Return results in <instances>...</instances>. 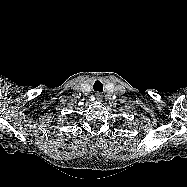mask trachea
I'll use <instances>...</instances> for the list:
<instances>
[{
    "mask_svg": "<svg viewBox=\"0 0 187 187\" xmlns=\"http://www.w3.org/2000/svg\"><path fill=\"white\" fill-rule=\"evenodd\" d=\"M94 91L96 92H102L103 91V86L100 81H96L93 86Z\"/></svg>",
    "mask_w": 187,
    "mask_h": 187,
    "instance_id": "obj_1",
    "label": "trachea"
}]
</instances>
